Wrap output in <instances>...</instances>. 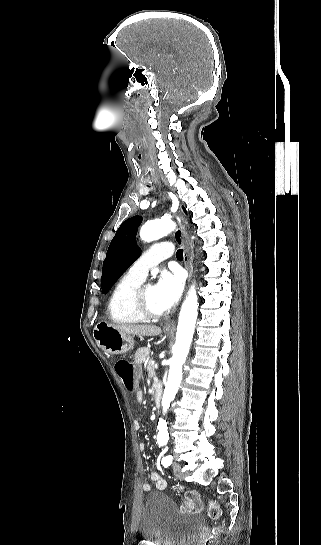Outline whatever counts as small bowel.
<instances>
[{"label": "small bowel", "mask_w": 321, "mask_h": 545, "mask_svg": "<svg viewBox=\"0 0 321 545\" xmlns=\"http://www.w3.org/2000/svg\"><path fill=\"white\" fill-rule=\"evenodd\" d=\"M143 399H144V395H143V392L142 391H138L136 393V400L138 403H142L143 402ZM134 427L136 430H139L141 428V424L139 421H135L134 422ZM139 449L140 451H144L145 450V443L144 442H141L139 443ZM151 480L155 483L156 487L159 489V490H163L166 488V481L165 479L158 473V472H152L151 473ZM143 490L148 492L152 489V486L150 483L146 482L143 484L142 486Z\"/></svg>", "instance_id": "c3829d8e"}]
</instances>
